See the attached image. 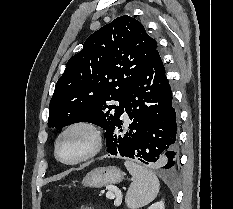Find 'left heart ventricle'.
I'll return each instance as SVG.
<instances>
[{
  "instance_id": "1",
  "label": "left heart ventricle",
  "mask_w": 233,
  "mask_h": 209,
  "mask_svg": "<svg viewBox=\"0 0 233 209\" xmlns=\"http://www.w3.org/2000/svg\"><path fill=\"white\" fill-rule=\"evenodd\" d=\"M90 134L81 129L67 133L59 144V156L64 160H74L84 154L91 146Z\"/></svg>"
}]
</instances>
